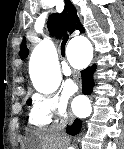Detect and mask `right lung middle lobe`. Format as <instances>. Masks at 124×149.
<instances>
[{
    "instance_id": "dd1d6c3e",
    "label": "right lung middle lobe",
    "mask_w": 124,
    "mask_h": 149,
    "mask_svg": "<svg viewBox=\"0 0 124 149\" xmlns=\"http://www.w3.org/2000/svg\"><path fill=\"white\" fill-rule=\"evenodd\" d=\"M27 104H28V105H30V104H31V100H30V99L27 101Z\"/></svg>"
}]
</instances>
